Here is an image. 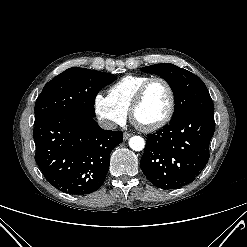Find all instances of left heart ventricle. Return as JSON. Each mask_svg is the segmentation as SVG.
I'll use <instances>...</instances> for the list:
<instances>
[{
  "label": "left heart ventricle",
  "instance_id": "1",
  "mask_svg": "<svg viewBox=\"0 0 247 247\" xmlns=\"http://www.w3.org/2000/svg\"><path fill=\"white\" fill-rule=\"evenodd\" d=\"M169 93L161 82H154L135 113V120L141 125H151L161 120L168 111Z\"/></svg>",
  "mask_w": 247,
  "mask_h": 247
}]
</instances>
